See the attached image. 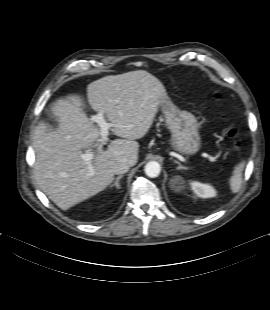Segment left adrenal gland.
Instances as JSON below:
<instances>
[{
  "instance_id": "obj_1",
  "label": "left adrenal gland",
  "mask_w": 270,
  "mask_h": 310,
  "mask_svg": "<svg viewBox=\"0 0 270 310\" xmlns=\"http://www.w3.org/2000/svg\"><path fill=\"white\" fill-rule=\"evenodd\" d=\"M174 162H175L176 164H178L177 170H181V169L187 170V169H188L187 167L182 166L181 163L178 162L177 160H174Z\"/></svg>"
}]
</instances>
